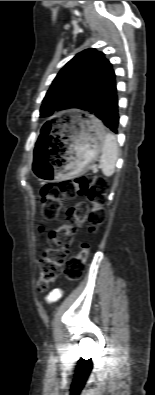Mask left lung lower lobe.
Listing matches in <instances>:
<instances>
[{
    "label": "left lung lower lobe",
    "mask_w": 155,
    "mask_h": 395,
    "mask_svg": "<svg viewBox=\"0 0 155 395\" xmlns=\"http://www.w3.org/2000/svg\"><path fill=\"white\" fill-rule=\"evenodd\" d=\"M115 78L113 71L81 102L79 109L93 114L111 131L117 133L119 115Z\"/></svg>",
    "instance_id": "left-lung-lower-lobe-1"
}]
</instances>
